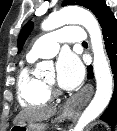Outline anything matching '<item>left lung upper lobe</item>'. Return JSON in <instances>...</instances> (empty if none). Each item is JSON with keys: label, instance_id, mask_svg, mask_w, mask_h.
<instances>
[{"label": "left lung upper lobe", "instance_id": "5c2ea615", "mask_svg": "<svg viewBox=\"0 0 117 131\" xmlns=\"http://www.w3.org/2000/svg\"><path fill=\"white\" fill-rule=\"evenodd\" d=\"M67 5H80L85 8L90 9L93 14L97 17L99 12L106 6L104 0H64L62 6ZM33 29V23L31 21L27 22L22 28L19 37H18V52L21 51L22 46Z\"/></svg>", "mask_w": 117, "mask_h": 131}]
</instances>
